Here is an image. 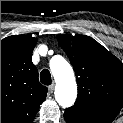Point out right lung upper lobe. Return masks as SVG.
<instances>
[{
    "label": "right lung upper lobe",
    "mask_w": 123,
    "mask_h": 123,
    "mask_svg": "<svg viewBox=\"0 0 123 123\" xmlns=\"http://www.w3.org/2000/svg\"><path fill=\"white\" fill-rule=\"evenodd\" d=\"M36 42L28 35L1 40V123H32L46 98L31 61Z\"/></svg>",
    "instance_id": "right-lung-upper-lobe-1"
}]
</instances>
